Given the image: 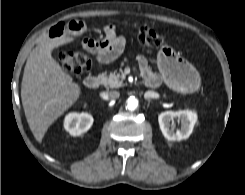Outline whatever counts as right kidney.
I'll list each match as a JSON object with an SVG mask.
<instances>
[{
    "label": "right kidney",
    "instance_id": "ca27d5eb",
    "mask_svg": "<svg viewBox=\"0 0 245 195\" xmlns=\"http://www.w3.org/2000/svg\"><path fill=\"white\" fill-rule=\"evenodd\" d=\"M93 124V117L88 113H69L64 120V128L72 136L87 132Z\"/></svg>",
    "mask_w": 245,
    "mask_h": 195
}]
</instances>
